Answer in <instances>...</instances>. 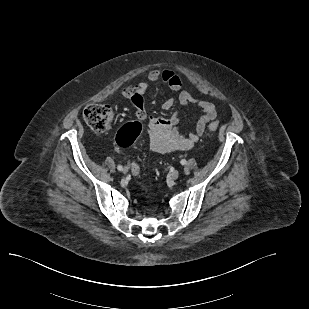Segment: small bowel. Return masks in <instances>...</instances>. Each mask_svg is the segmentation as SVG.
I'll list each match as a JSON object with an SVG mask.
<instances>
[{"instance_id": "small-bowel-1", "label": "small bowel", "mask_w": 309, "mask_h": 309, "mask_svg": "<svg viewBox=\"0 0 309 309\" xmlns=\"http://www.w3.org/2000/svg\"><path fill=\"white\" fill-rule=\"evenodd\" d=\"M158 81L164 82L173 91H180L178 103L181 107L194 104L200 109L202 116L197 121L194 131L187 134L180 131L179 112H175L168 118L148 116L145 110L144 93ZM182 86V78L173 70L153 69L144 80L138 83L126 84L119 90V95L129 99L136 108L137 119L142 122H148L151 147L158 153L184 151L192 148L204 134L207 125L217 118L216 108L211 102L199 100L188 91H181ZM174 103L175 100L173 98H167L163 101L162 108L170 110Z\"/></svg>"}]
</instances>
